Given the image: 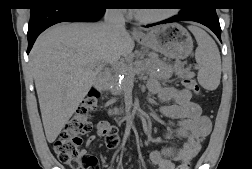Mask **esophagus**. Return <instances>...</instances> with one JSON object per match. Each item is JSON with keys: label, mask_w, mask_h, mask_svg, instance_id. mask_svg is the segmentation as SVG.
I'll list each match as a JSON object with an SVG mask.
<instances>
[{"label": "esophagus", "mask_w": 252, "mask_h": 169, "mask_svg": "<svg viewBox=\"0 0 252 169\" xmlns=\"http://www.w3.org/2000/svg\"><path fill=\"white\" fill-rule=\"evenodd\" d=\"M132 34H133V35H140L141 32H140L136 27H133V28H132Z\"/></svg>", "instance_id": "obj_1"}]
</instances>
